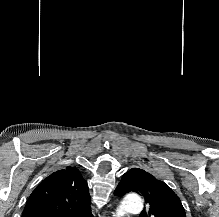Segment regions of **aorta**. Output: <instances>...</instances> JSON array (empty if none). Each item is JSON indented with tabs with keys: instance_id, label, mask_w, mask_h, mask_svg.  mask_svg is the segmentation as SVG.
<instances>
[{
	"instance_id": "obj_1",
	"label": "aorta",
	"mask_w": 219,
	"mask_h": 217,
	"mask_svg": "<svg viewBox=\"0 0 219 217\" xmlns=\"http://www.w3.org/2000/svg\"><path fill=\"white\" fill-rule=\"evenodd\" d=\"M143 209V201L138 195L127 196L116 210L115 217H123L127 213L140 212Z\"/></svg>"
}]
</instances>
